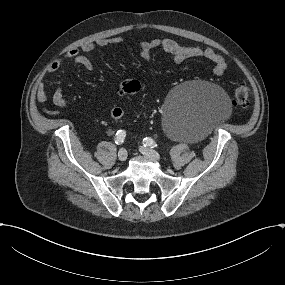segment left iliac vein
<instances>
[{
	"label": "left iliac vein",
	"instance_id": "obj_1",
	"mask_svg": "<svg viewBox=\"0 0 285 285\" xmlns=\"http://www.w3.org/2000/svg\"><path fill=\"white\" fill-rule=\"evenodd\" d=\"M140 152L142 154H144L145 156H148V157H151V158L155 159L156 161H160L161 160L160 155L153 149H149V148H146V147H141L140 148Z\"/></svg>",
	"mask_w": 285,
	"mask_h": 285
}]
</instances>
